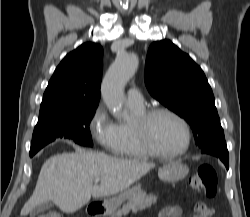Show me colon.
Listing matches in <instances>:
<instances>
[{
  "mask_svg": "<svg viewBox=\"0 0 250 217\" xmlns=\"http://www.w3.org/2000/svg\"><path fill=\"white\" fill-rule=\"evenodd\" d=\"M191 188L208 197H214L217 193V175L215 169L210 165L200 166L195 173L190 176ZM198 217L209 215L212 210L203 202L196 203L194 207ZM39 217H62L57 212H50Z\"/></svg>",
  "mask_w": 250,
  "mask_h": 217,
  "instance_id": "5ec220e1",
  "label": "colon"
}]
</instances>
